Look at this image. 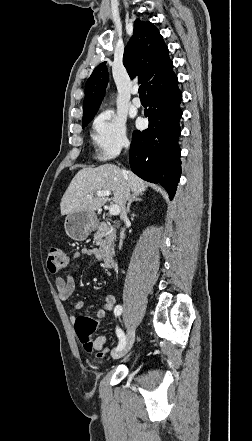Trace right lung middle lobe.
Segmentation results:
<instances>
[{"mask_svg": "<svg viewBox=\"0 0 252 441\" xmlns=\"http://www.w3.org/2000/svg\"><path fill=\"white\" fill-rule=\"evenodd\" d=\"M90 121H91V120L86 121V122H83V123H82V127L84 128L85 126H87V124H88Z\"/></svg>", "mask_w": 252, "mask_h": 441, "instance_id": "right-lung-middle-lobe-1", "label": "right lung middle lobe"}]
</instances>
